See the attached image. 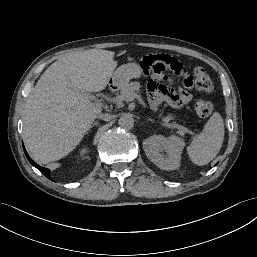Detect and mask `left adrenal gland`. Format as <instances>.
<instances>
[{
    "label": "left adrenal gland",
    "instance_id": "obj_1",
    "mask_svg": "<svg viewBox=\"0 0 257 257\" xmlns=\"http://www.w3.org/2000/svg\"><path fill=\"white\" fill-rule=\"evenodd\" d=\"M147 121L154 122V120H153V119H148Z\"/></svg>",
    "mask_w": 257,
    "mask_h": 257
}]
</instances>
